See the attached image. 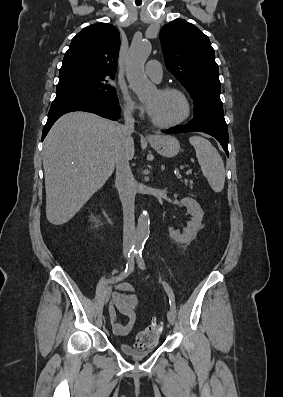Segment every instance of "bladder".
Wrapping results in <instances>:
<instances>
[{
    "instance_id": "1",
    "label": "bladder",
    "mask_w": 283,
    "mask_h": 397,
    "mask_svg": "<svg viewBox=\"0 0 283 397\" xmlns=\"http://www.w3.org/2000/svg\"><path fill=\"white\" fill-rule=\"evenodd\" d=\"M118 349L121 353L133 359H142L155 352V350L157 349V342L150 347L144 349L135 348L126 343H120L118 344Z\"/></svg>"
}]
</instances>
